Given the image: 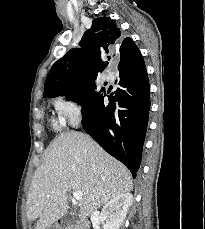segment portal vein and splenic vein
<instances>
[{
	"mask_svg": "<svg viewBox=\"0 0 205 229\" xmlns=\"http://www.w3.org/2000/svg\"><path fill=\"white\" fill-rule=\"evenodd\" d=\"M82 196H83V194H82L81 191H75V192H73V197H74L75 200H81L82 199Z\"/></svg>",
	"mask_w": 205,
	"mask_h": 229,
	"instance_id": "obj_1",
	"label": "portal vein and splenic vein"
}]
</instances>
